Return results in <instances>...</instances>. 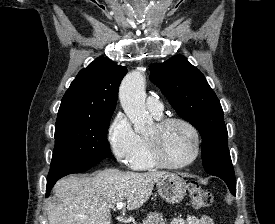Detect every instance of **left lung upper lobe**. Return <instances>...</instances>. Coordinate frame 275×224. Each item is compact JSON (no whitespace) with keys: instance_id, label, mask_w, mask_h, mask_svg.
Returning a JSON list of instances; mask_svg holds the SVG:
<instances>
[{"instance_id":"1","label":"left lung upper lobe","mask_w":275,"mask_h":224,"mask_svg":"<svg viewBox=\"0 0 275 224\" xmlns=\"http://www.w3.org/2000/svg\"><path fill=\"white\" fill-rule=\"evenodd\" d=\"M150 80L177 114L202 137L203 167L210 175L235 179L221 104L199 69L182 55L150 66Z\"/></svg>"}]
</instances>
